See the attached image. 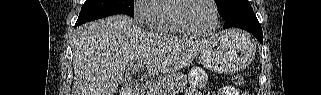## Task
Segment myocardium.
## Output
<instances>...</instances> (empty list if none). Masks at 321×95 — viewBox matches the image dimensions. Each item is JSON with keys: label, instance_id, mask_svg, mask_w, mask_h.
I'll return each instance as SVG.
<instances>
[{"label": "myocardium", "instance_id": "1", "mask_svg": "<svg viewBox=\"0 0 321 95\" xmlns=\"http://www.w3.org/2000/svg\"><path fill=\"white\" fill-rule=\"evenodd\" d=\"M192 1L194 0H177V2L175 3L171 11V22L173 23L174 26H176L178 29H180L181 31H183L188 35L204 37V36H209L213 34L216 31L219 24V11H218L216 2L214 0H208L213 7L214 22L212 27L208 31L201 32L194 29L192 26H190L184 20L182 15L184 9Z\"/></svg>", "mask_w": 321, "mask_h": 95}]
</instances>
